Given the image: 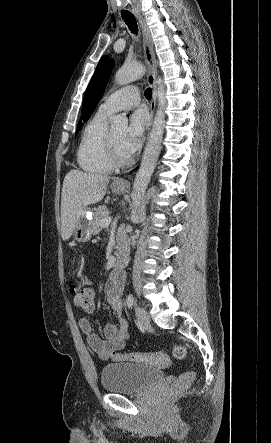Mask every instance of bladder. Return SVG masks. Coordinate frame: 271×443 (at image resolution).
Segmentation results:
<instances>
[{
  "label": "bladder",
  "mask_w": 271,
  "mask_h": 443,
  "mask_svg": "<svg viewBox=\"0 0 271 443\" xmlns=\"http://www.w3.org/2000/svg\"><path fill=\"white\" fill-rule=\"evenodd\" d=\"M162 378L163 372L158 368L128 362L109 363L100 376L103 389L114 394L142 392Z\"/></svg>",
  "instance_id": "1"
}]
</instances>
